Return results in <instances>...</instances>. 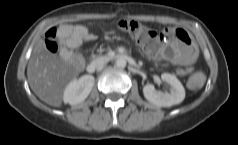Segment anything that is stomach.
<instances>
[{
    "label": "stomach",
    "mask_w": 238,
    "mask_h": 145,
    "mask_svg": "<svg viewBox=\"0 0 238 145\" xmlns=\"http://www.w3.org/2000/svg\"><path fill=\"white\" fill-rule=\"evenodd\" d=\"M171 35L184 51L191 52L195 49L196 42L193 36L183 26H174Z\"/></svg>",
    "instance_id": "stomach-1"
}]
</instances>
